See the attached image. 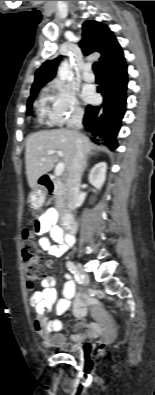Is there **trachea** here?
<instances>
[{
	"label": "trachea",
	"instance_id": "obj_1",
	"mask_svg": "<svg viewBox=\"0 0 155 395\" xmlns=\"http://www.w3.org/2000/svg\"><path fill=\"white\" fill-rule=\"evenodd\" d=\"M93 70H94L95 73H100V69L98 67V62H95L93 64Z\"/></svg>",
	"mask_w": 155,
	"mask_h": 395
}]
</instances>
